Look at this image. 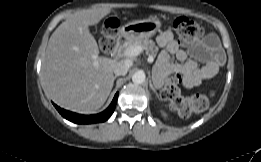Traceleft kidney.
Listing matches in <instances>:
<instances>
[{"mask_svg":"<svg viewBox=\"0 0 261 162\" xmlns=\"http://www.w3.org/2000/svg\"><path fill=\"white\" fill-rule=\"evenodd\" d=\"M162 114H163V116H164V117H166V116H167V115H166V113H164V112H162Z\"/></svg>","mask_w":261,"mask_h":162,"instance_id":"5707ae66","label":"left kidney"}]
</instances>
